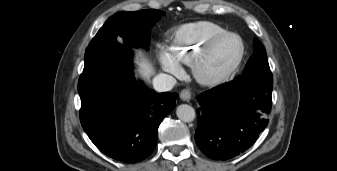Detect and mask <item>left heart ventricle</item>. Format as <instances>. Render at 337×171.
I'll use <instances>...</instances> for the list:
<instances>
[{"label":"left heart ventricle","instance_id":"obj_1","mask_svg":"<svg viewBox=\"0 0 337 171\" xmlns=\"http://www.w3.org/2000/svg\"><path fill=\"white\" fill-rule=\"evenodd\" d=\"M239 52L240 46L236 38L224 40L209 54L204 71L212 76L224 73L236 61Z\"/></svg>","mask_w":337,"mask_h":171}]
</instances>
